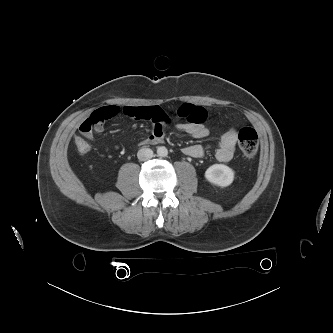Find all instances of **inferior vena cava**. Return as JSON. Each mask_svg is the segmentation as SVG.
I'll use <instances>...</instances> for the list:
<instances>
[{
    "instance_id": "obj_1",
    "label": "inferior vena cava",
    "mask_w": 333,
    "mask_h": 333,
    "mask_svg": "<svg viewBox=\"0 0 333 333\" xmlns=\"http://www.w3.org/2000/svg\"><path fill=\"white\" fill-rule=\"evenodd\" d=\"M153 156V151L150 148H142L137 153V157L140 161H146L151 159Z\"/></svg>"
}]
</instances>
